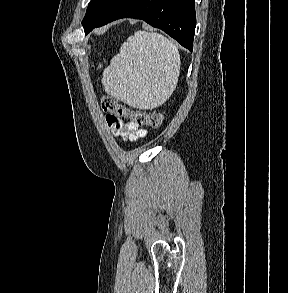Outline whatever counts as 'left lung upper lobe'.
<instances>
[{
	"instance_id": "left-lung-upper-lobe-1",
	"label": "left lung upper lobe",
	"mask_w": 288,
	"mask_h": 293,
	"mask_svg": "<svg viewBox=\"0 0 288 293\" xmlns=\"http://www.w3.org/2000/svg\"><path fill=\"white\" fill-rule=\"evenodd\" d=\"M118 1L119 0H92L88 5L86 15L83 19L85 34H88L92 26L102 19Z\"/></svg>"
}]
</instances>
